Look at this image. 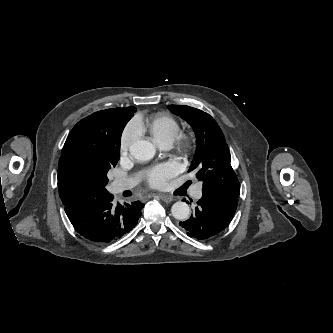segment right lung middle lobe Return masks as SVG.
<instances>
[{
	"mask_svg": "<svg viewBox=\"0 0 333 333\" xmlns=\"http://www.w3.org/2000/svg\"><path fill=\"white\" fill-rule=\"evenodd\" d=\"M135 112L134 106L95 112L78 122L69 133L58 167L93 198L108 194L107 173L120 158L121 135Z\"/></svg>",
	"mask_w": 333,
	"mask_h": 333,
	"instance_id": "obj_1",
	"label": "right lung middle lobe"
}]
</instances>
